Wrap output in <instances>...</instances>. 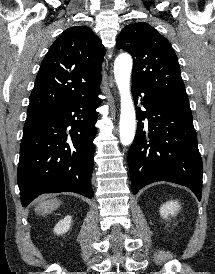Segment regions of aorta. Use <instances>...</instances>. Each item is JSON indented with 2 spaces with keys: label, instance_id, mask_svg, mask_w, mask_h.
<instances>
[{
  "label": "aorta",
  "instance_id": "aorta-1",
  "mask_svg": "<svg viewBox=\"0 0 215 274\" xmlns=\"http://www.w3.org/2000/svg\"><path fill=\"white\" fill-rule=\"evenodd\" d=\"M131 70V56L120 54L114 63V75L121 97L120 140L125 146L133 142L136 128L135 109L130 94Z\"/></svg>",
  "mask_w": 215,
  "mask_h": 274
}]
</instances>
